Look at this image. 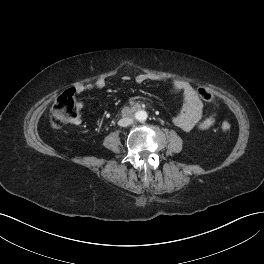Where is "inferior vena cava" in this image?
Instances as JSON below:
<instances>
[{
	"label": "inferior vena cava",
	"mask_w": 264,
	"mask_h": 264,
	"mask_svg": "<svg viewBox=\"0 0 264 264\" xmlns=\"http://www.w3.org/2000/svg\"><path fill=\"white\" fill-rule=\"evenodd\" d=\"M132 122H133V119L132 118L125 117V118H121L118 121V125L119 126H122V127H126V126L132 124Z\"/></svg>",
	"instance_id": "1"
}]
</instances>
